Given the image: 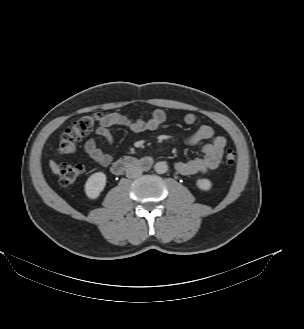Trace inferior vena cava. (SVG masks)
I'll list each match as a JSON object with an SVG mask.
<instances>
[{
    "instance_id": "602c4592",
    "label": "inferior vena cava",
    "mask_w": 304,
    "mask_h": 329,
    "mask_svg": "<svg viewBox=\"0 0 304 329\" xmlns=\"http://www.w3.org/2000/svg\"><path fill=\"white\" fill-rule=\"evenodd\" d=\"M142 174V168L137 165H132L127 168L126 176L128 178H136Z\"/></svg>"
}]
</instances>
